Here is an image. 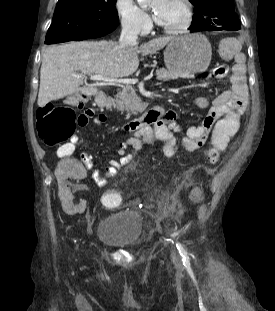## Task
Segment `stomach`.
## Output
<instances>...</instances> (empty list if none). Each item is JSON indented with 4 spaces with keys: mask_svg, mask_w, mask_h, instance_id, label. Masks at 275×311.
Segmentation results:
<instances>
[{
    "mask_svg": "<svg viewBox=\"0 0 275 311\" xmlns=\"http://www.w3.org/2000/svg\"><path fill=\"white\" fill-rule=\"evenodd\" d=\"M211 58V45L200 33L176 37L168 43L164 51L167 69L175 77L181 78H193L205 72Z\"/></svg>",
    "mask_w": 275,
    "mask_h": 311,
    "instance_id": "stomach-1",
    "label": "stomach"
}]
</instances>
